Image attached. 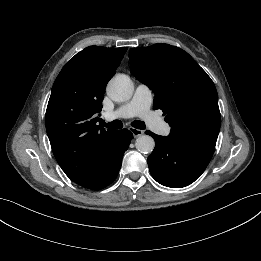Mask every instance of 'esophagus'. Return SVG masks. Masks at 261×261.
Masks as SVG:
<instances>
[{
  "instance_id": "1",
  "label": "esophagus",
  "mask_w": 261,
  "mask_h": 261,
  "mask_svg": "<svg viewBox=\"0 0 261 261\" xmlns=\"http://www.w3.org/2000/svg\"><path fill=\"white\" fill-rule=\"evenodd\" d=\"M131 132L133 134V136L136 138V137H139L141 135L144 134V131L143 130H140V129H136V128H131Z\"/></svg>"
}]
</instances>
